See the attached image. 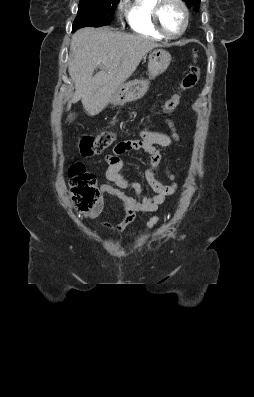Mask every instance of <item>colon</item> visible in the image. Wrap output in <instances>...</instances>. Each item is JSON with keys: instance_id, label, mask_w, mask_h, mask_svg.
Masks as SVG:
<instances>
[{"instance_id": "1", "label": "colon", "mask_w": 254, "mask_h": 397, "mask_svg": "<svg viewBox=\"0 0 254 397\" xmlns=\"http://www.w3.org/2000/svg\"><path fill=\"white\" fill-rule=\"evenodd\" d=\"M200 77V68L197 65V52L193 54V63L180 81L179 89L162 105L165 113L174 111L181 101L182 94L192 89ZM116 140L112 131H102L96 136L84 135L78 138V147L82 156L90 157L100 154ZM69 187L71 200L79 211L87 210L98 200L99 192L95 185V177L85 167L76 163L69 170Z\"/></svg>"}]
</instances>
